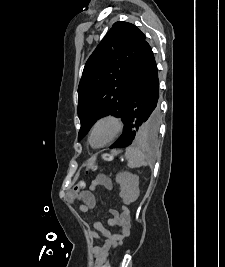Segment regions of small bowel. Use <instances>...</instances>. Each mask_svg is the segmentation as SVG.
Masks as SVG:
<instances>
[{"mask_svg":"<svg viewBox=\"0 0 225 267\" xmlns=\"http://www.w3.org/2000/svg\"><path fill=\"white\" fill-rule=\"evenodd\" d=\"M100 186L109 190L113 189L111 179L104 175H99L91 183L90 190L85 191L78 196L70 193L67 195V200L69 202H74L76 200L82 201V205H80L79 210L82 213H88L89 210L93 209L96 205L93 191H95ZM110 215L111 217L108 220V223L110 226L116 227L118 229L117 232H110L109 230L105 229L100 222H93V229L89 231L91 239L100 240L102 242L100 246L93 247L95 267H103L108 252L111 249L119 246L122 241L130 234L131 221L130 212L127 206L123 205L121 212H118L115 209H111ZM99 233H101V235Z\"/></svg>","mask_w":225,"mask_h":267,"instance_id":"small-bowel-1","label":"small bowel"}]
</instances>
